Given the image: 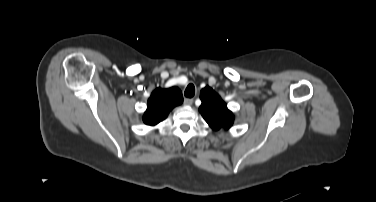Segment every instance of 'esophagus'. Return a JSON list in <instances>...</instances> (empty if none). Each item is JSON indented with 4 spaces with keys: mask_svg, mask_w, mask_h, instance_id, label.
Instances as JSON below:
<instances>
[{
    "mask_svg": "<svg viewBox=\"0 0 376 202\" xmlns=\"http://www.w3.org/2000/svg\"><path fill=\"white\" fill-rule=\"evenodd\" d=\"M184 104L188 105V106L192 105L193 104V99H191V98H184Z\"/></svg>",
    "mask_w": 376,
    "mask_h": 202,
    "instance_id": "34e87169",
    "label": "esophagus"
}]
</instances>
